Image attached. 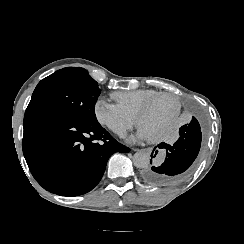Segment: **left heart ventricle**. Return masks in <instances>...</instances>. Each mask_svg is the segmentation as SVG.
Wrapping results in <instances>:
<instances>
[{
	"label": "left heart ventricle",
	"instance_id": "obj_1",
	"mask_svg": "<svg viewBox=\"0 0 244 244\" xmlns=\"http://www.w3.org/2000/svg\"><path fill=\"white\" fill-rule=\"evenodd\" d=\"M176 104L171 99H164L156 103L148 110V114L142 118V126L152 130L155 135L161 136L166 128L164 120L169 118V113L174 111Z\"/></svg>",
	"mask_w": 244,
	"mask_h": 244
}]
</instances>
